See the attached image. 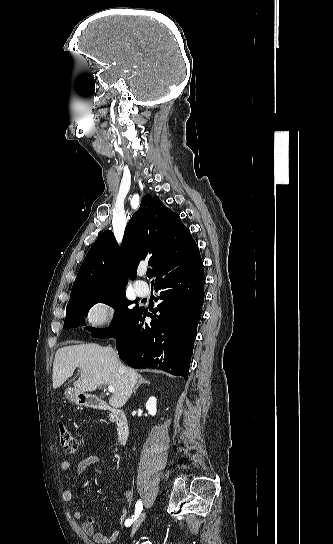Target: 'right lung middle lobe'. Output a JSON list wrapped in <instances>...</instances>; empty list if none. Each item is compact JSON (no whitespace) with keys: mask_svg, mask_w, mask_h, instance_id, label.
<instances>
[{"mask_svg":"<svg viewBox=\"0 0 333 544\" xmlns=\"http://www.w3.org/2000/svg\"><path fill=\"white\" fill-rule=\"evenodd\" d=\"M98 302L112 306L115 309V315L110 328L96 329L85 327L86 330L92 332L93 336L108 333L126 322L141 309L138 305L135 307L132 306L136 302L126 298L125 289L88 293L69 300L63 326L64 329L85 325L83 317H86L89 309Z\"/></svg>","mask_w":333,"mask_h":544,"instance_id":"right-lung-middle-lobe-1","label":"right lung middle lobe"}]
</instances>
